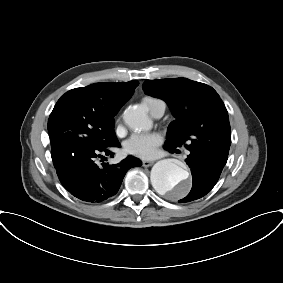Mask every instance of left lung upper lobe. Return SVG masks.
Here are the masks:
<instances>
[{
  "label": "left lung upper lobe",
  "mask_w": 283,
  "mask_h": 283,
  "mask_svg": "<svg viewBox=\"0 0 283 283\" xmlns=\"http://www.w3.org/2000/svg\"><path fill=\"white\" fill-rule=\"evenodd\" d=\"M143 89L169 105L175 120L170 123L165 146L184 145L210 158H228L231 130L227 109L210 86L186 78L146 80Z\"/></svg>",
  "instance_id": "left-lung-upper-lobe-1"
}]
</instances>
